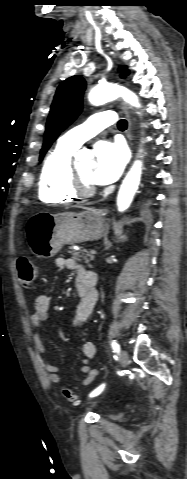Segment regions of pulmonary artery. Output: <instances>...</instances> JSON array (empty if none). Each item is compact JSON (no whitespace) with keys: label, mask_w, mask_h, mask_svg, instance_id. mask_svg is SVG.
I'll return each instance as SVG.
<instances>
[{"label":"pulmonary artery","mask_w":187,"mask_h":479,"mask_svg":"<svg viewBox=\"0 0 187 479\" xmlns=\"http://www.w3.org/2000/svg\"><path fill=\"white\" fill-rule=\"evenodd\" d=\"M116 114L114 111H102L88 118L83 124L63 134L59 141L64 145L77 149L82 143L95 136L105 127L114 124Z\"/></svg>","instance_id":"pulmonary-artery-1"}]
</instances>
